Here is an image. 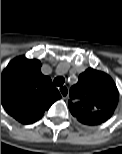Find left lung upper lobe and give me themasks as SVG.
I'll use <instances>...</instances> for the list:
<instances>
[{
	"label": "left lung upper lobe",
	"mask_w": 122,
	"mask_h": 154,
	"mask_svg": "<svg viewBox=\"0 0 122 154\" xmlns=\"http://www.w3.org/2000/svg\"><path fill=\"white\" fill-rule=\"evenodd\" d=\"M119 93L112 78L92 68L80 74L77 84L70 89V112L86 125L103 122L111 115L118 103ZM106 112L110 114H106Z\"/></svg>",
	"instance_id": "left-lung-upper-lobe-1"
}]
</instances>
